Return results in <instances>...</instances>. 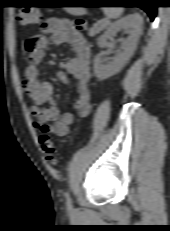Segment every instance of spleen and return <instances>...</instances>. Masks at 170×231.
<instances>
[{"label": "spleen", "mask_w": 170, "mask_h": 231, "mask_svg": "<svg viewBox=\"0 0 170 231\" xmlns=\"http://www.w3.org/2000/svg\"><path fill=\"white\" fill-rule=\"evenodd\" d=\"M103 12L106 16L110 18H118L123 13V8L121 7H105Z\"/></svg>", "instance_id": "3e777b00"}]
</instances>
